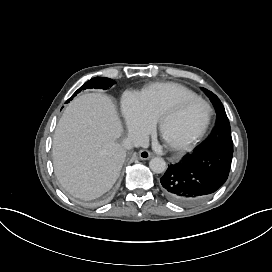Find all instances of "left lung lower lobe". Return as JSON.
Listing matches in <instances>:
<instances>
[{"mask_svg":"<svg viewBox=\"0 0 272 272\" xmlns=\"http://www.w3.org/2000/svg\"><path fill=\"white\" fill-rule=\"evenodd\" d=\"M232 153L222 149L197 150L168 167L160 179L164 195L179 205H191L208 197L227 180Z\"/></svg>","mask_w":272,"mask_h":272,"instance_id":"0a47b994","label":"left lung lower lobe"}]
</instances>
